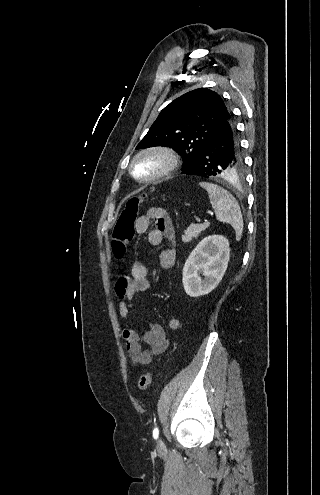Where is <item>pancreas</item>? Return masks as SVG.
<instances>
[{"instance_id": "obj_1", "label": "pancreas", "mask_w": 320, "mask_h": 495, "mask_svg": "<svg viewBox=\"0 0 320 495\" xmlns=\"http://www.w3.org/2000/svg\"><path fill=\"white\" fill-rule=\"evenodd\" d=\"M209 227L207 223L203 224H194L192 223L185 231L182 236V241L184 243L192 241L194 238H198L202 231L206 230Z\"/></svg>"}]
</instances>
